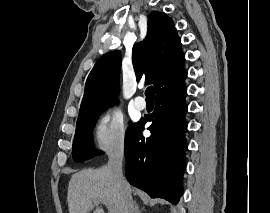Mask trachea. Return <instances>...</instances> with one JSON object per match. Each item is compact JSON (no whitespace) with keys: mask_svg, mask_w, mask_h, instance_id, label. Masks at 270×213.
<instances>
[{"mask_svg":"<svg viewBox=\"0 0 270 213\" xmlns=\"http://www.w3.org/2000/svg\"><path fill=\"white\" fill-rule=\"evenodd\" d=\"M145 95L147 99H154L155 97L154 88L152 86H149L145 91Z\"/></svg>","mask_w":270,"mask_h":213,"instance_id":"1","label":"trachea"}]
</instances>
